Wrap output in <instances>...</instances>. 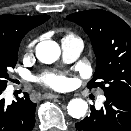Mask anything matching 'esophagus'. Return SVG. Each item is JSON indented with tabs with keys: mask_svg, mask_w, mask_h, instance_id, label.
Listing matches in <instances>:
<instances>
[{
	"mask_svg": "<svg viewBox=\"0 0 131 131\" xmlns=\"http://www.w3.org/2000/svg\"><path fill=\"white\" fill-rule=\"evenodd\" d=\"M60 95H57V94H52V93H46L44 94V98L46 99H54V98H59Z\"/></svg>",
	"mask_w": 131,
	"mask_h": 131,
	"instance_id": "obj_1",
	"label": "esophagus"
}]
</instances>
